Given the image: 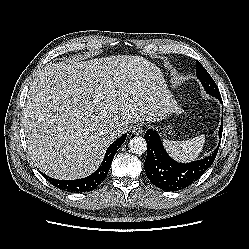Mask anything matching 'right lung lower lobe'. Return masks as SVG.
I'll use <instances>...</instances> for the list:
<instances>
[{"label": "right lung lower lobe", "mask_w": 249, "mask_h": 249, "mask_svg": "<svg viewBox=\"0 0 249 249\" xmlns=\"http://www.w3.org/2000/svg\"><path fill=\"white\" fill-rule=\"evenodd\" d=\"M127 134H123L120 138L114 141L107 149L103 162L100 167L90 176L77 180H58L44 175V177L55 187L68 192H88L95 189L102 183L110 169L115 153L120 146L125 142Z\"/></svg>", "instance_id": "right-lung-lower-lobe-1"}]
</instances>
